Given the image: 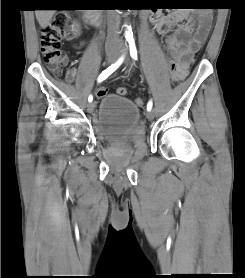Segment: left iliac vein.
Here are the masks:
<instances>
[{
  "instance_id": "4c4485c4",
  "label": "left iliac vein",
  "mask_w": 245,
  "mask_h": 278,
  "mask_svg": "<svg viewBox=\"0 0 245 278\" xmlns=\"http://www.w3.org/2000/svg\"><path fill=\"white\" fill-rule=\"evenodd\" d=\"M123 50L125 51V53L127 52V48L126 47H124ZM146 116H147V118L149 120H152L154 118V116H155V113L152 110H148Z\"/></svg>"
}]
</instances>
